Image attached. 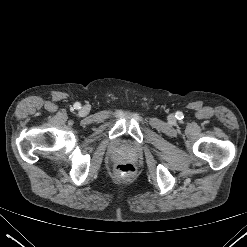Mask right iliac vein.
<instances>
[{
  "instance_id": "obj_1",
  "label": "right iliac vein",
  "mask_w": 247,
  "mask_h": 247,
  "mask_svg": "<svg viewBox=\"0 0 247 247\" xmlns=\"http://www.w3.org/2000/svg\"><path fill=\"white\" fill-rule=\"evenodd\" d=\"M88 113V110H87V108H82L81 110H80V114L81 115H86Z\"/></svg>"
}]
</instances>
